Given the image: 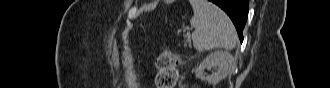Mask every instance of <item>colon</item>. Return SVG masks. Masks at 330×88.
Masks as SVG:
<instances>
[{"instance_id":"1","label":"colon","mask_w":330,"mask_h":88,"mask_svg":"<svg viewBox=\"0 0 330 88\" xmlns=\"http://www.w3.org/2000/svg\"><path fill=\"white\" fill-rule=\"evenodd\" d=\"M158 73L156 77L157 88H173L177 81L175 63L167 50H164L157 59Z\"/></svg>"}]
</instances>
